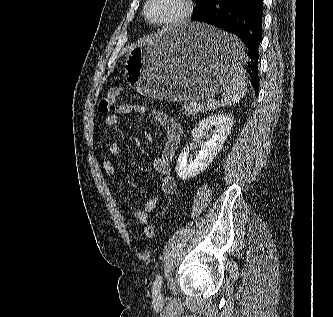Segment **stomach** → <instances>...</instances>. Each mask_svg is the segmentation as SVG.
<instances>
[{
    "label": "stomach",
    "instance_id": "0dacf381",
    "mask_svg": "<svg viewBox=\"0 0 333 317\" xmlns=\"http://www.w3.org/2000/svg\"><path fill=\"white\" fill-rule=\"evenodd\" d=\"M246 45L230 29L193 23L169 27L131 47L125 57L128 81L145 97L198 101L233 88L234 74L248 62Z\"/></svg>",
    "mask_w": 333,
    "mask_h": 317
}]
</instances>
